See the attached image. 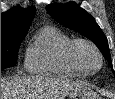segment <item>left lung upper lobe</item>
<instances>
[{"label":"left lung upper lobe","mask_w":115,"mask_h":99,"mask_svg":"<svg viewBox=\"0 0 115 99\" xmlns=\"http://www.w3.org/2000/svg\"><path fill=\"white\" fill-rule=\"evenodd\" d=\"M46 9L57 22L81 33L93 41L112 67L107 38L92 15L74 2L50 4L46 6Z\"/></svg>","instance_id":"5c2ea615"}]
</instances>
